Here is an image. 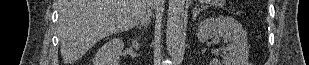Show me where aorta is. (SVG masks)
I'll use <instances>...</instances> for the list:
<instances>
[{"mask_svg": "<svg viewBox=\"0 0 309 65\" xmlns=\"http://www.w3.org/2000/svg\"><path fill=\"white\" fill-rule=\"evenodd\" d=\"M185 0H169L166 27V45L168 53L174 56L182 40L184 29Z\"/></svg>", "mask_w": 309, "mask_h": 65, "instance_id": "obj_1", "label": "aorta"}]
</instances>
